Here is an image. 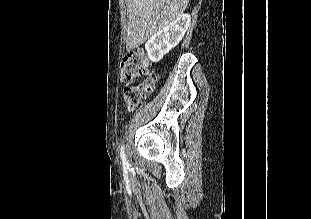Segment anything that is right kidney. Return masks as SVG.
Listing matches in <instances>:
<instances>
[{"mask_svg":"<svg viewBox=\"0 0 311 219\" xmlns=\"http://www.w3.org/2000/svg\"><path fill=\"white\" fill-rule=\"evenodd\" d=\"M190 20V15L182 14L146 42L145 49L152 62H159L178 45L190 25Z\"/></svg>","mask_w":311,"mask_h":219,"instance_id":"right-kidney-1","label":"right kidney"}]
</instances>
